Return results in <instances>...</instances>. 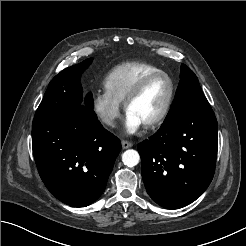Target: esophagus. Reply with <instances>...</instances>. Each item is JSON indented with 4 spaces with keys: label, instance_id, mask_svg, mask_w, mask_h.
I'll use <instances>...</instances> for the list:
<instances>
[{
    "label": "esophagus",
    "instance_id": "1",
    "mask_svg": "<svg viewBox=\"0 0 246 246\" xmlns=\"http://www.w3.org/2000/svg\"><path fill=\"white\" fill-rule=\"evenodd\" d=\"M121 145H122V148H123V149H128V148L132 147V143L129 142V141H125V140H123V141L121 142Z\"/></svg>",
    "mask_w": 246,
    "mask_h": 246
}]
</instances>
